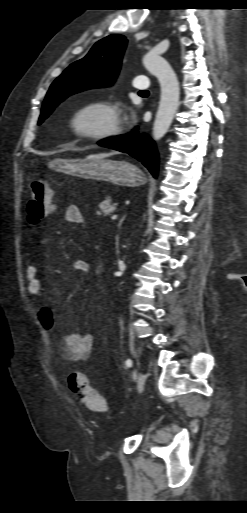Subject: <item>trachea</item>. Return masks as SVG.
<instances>
[{
	"instance_id": "3493384b",
	"label": "trachea",
	"mask_w": 247,
	"mask_h": 513,
	"mask_svg": "<svg viewBox=\"0 0 247 513\" xmlns=\"http://www.w3.org/2000/svg\"><path fill=\"white\" fill-rule=\"evenodd\" d=\"M140 93H144V94H148L149 92L148 91H140ZM245 281H247V277H244Z\"/></svg>"
}]
</instances>
